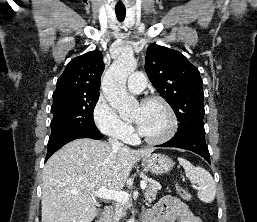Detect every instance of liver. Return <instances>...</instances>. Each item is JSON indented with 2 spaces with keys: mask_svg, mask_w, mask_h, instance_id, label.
<instances>
[{
  "mask_svg": "<svg viewBox=\"0 0 257 222\" xmlns=\"http://www.w3.org/2000/svg\"><path fill=\"white\" fill-rule=\"evenodd\" d=\"M154 148L113 150L108 143L77 139L63 146L43 170L41 222H92L97 214L93 192L102 186L120 191L131 169Z\"/></svg>",
  "mask_w": 257,
  "mask_h": 222,
  "instance_id": "1",
  "label": "liver"
}]
</instances>
